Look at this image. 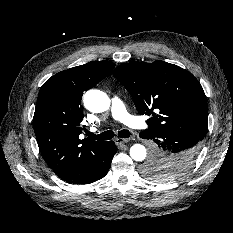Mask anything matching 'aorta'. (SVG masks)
Wrapping results in <instances>:
<instances>
[{"label": "aorta", "mask_w": 233, "mask_h": 233, "mask_svg": "<svg viewBox=\"0 0 233 233\" xmlns=\"http://www.w3.org/2000/svg\"><path fill=\"white\" fill-rule=\"evenodd\" d=\"M84 105L93 113H101L109 109L110 99L108 95L100 90L91 89L84 94ZM146 148L141 144H134L130 148V156L135 161H143L146 158Z\"/></svg>", "instance_id": "obj_1"}]
</instances>
